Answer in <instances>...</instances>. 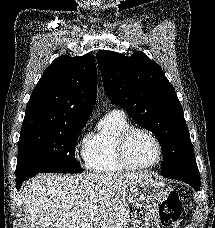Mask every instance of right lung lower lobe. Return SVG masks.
Returning a JSON list of instances; mask_svg holds the SVG:
<instances>
[{
    "label": "right lung lower lobe",
    "mask_w": 215,
    "mask_h": 228,
    "mask_svg": "<svg viewBox=\"0 0 215 228\" xmlns=\"http://www.w3.org/2000/svg\"><path fill=\"white\" fill-rule=\"evenodd\" d=\"M35 175L36 174H28V175H22V176L17 177V179H16V188H17V190L20 189V186L23 183V181H25L26 179H29V178H31V177H33Z\"/></svg>",
    "instance_id": "98d812e1"
}]
</instances>
